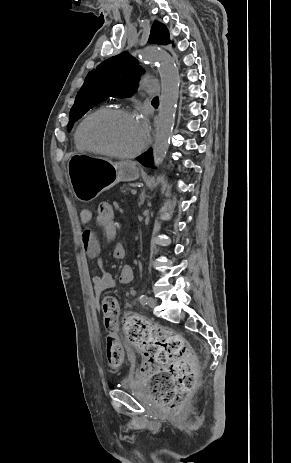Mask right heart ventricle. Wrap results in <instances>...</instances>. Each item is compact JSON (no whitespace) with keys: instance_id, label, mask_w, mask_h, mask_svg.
Listing matches in <instances>:
<instances>
[{"instance_id":"1","label":"right heart ventricle","mask_w":291,"mask_h":463,"mask_svg":"<svg viewBox=\"0 0 291 463\" xmlns=\"http://www.w3.org/2000/svg\"><path fill=\"white\" fill-rule=\"evenodd\" d=\"M108 108L106 106H101L97 109H95L94 111H92L91 113H89L86 117H84L80 122L79 124L77 125L76 127V130H75V133H74V141H75V145L77 147L78 150H81V151H87L89 149H87L85 147V145L82 143L81 139H80V136H79V130H80V127L82 125V123L85 121V119L87 117H89L90 115L96 113V112H100V111H104V110H107Z\"/></svg>"}]
</instances>
